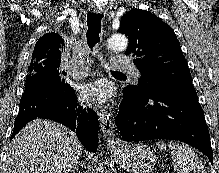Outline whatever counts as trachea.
<instances>
[{
    "label": "trachea",
    "instance_id": "trachea-1",
    "mask_svg": "<svg viewBox=\"0 0 219 173\" xmlns=\"http://www.w3.org/2000/svg\"><path fill=\"white\" fill-rule=\"evenodd\" d=\"M103 14L101 13H92L89 12L87 14V44L90 49L93 50L95 45L100 41V33H101V22H102ZM112 74L124 75L121 72H114Z\"/></svg>",
    "mask_w": 219,
    "mask_h": 173
}]
</instances>
